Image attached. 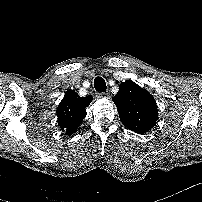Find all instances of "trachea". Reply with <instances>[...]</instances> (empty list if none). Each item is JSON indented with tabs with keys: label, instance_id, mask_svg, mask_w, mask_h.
Here are the masks:
<instances>
[{
	"label": "trachea",
	"instance_id": "trachea-1",
	"mask_svg": "<svg viewBox=\"0 0 202 202\" xmlns=\"http://www.w3.org/2000/svg\"><path fill=\"white\" fill-rule=\"evenodd\" d=\"M94 87L98 92H106L107 89L105 80L99 76L94 79Z\"/></svg>",
	"mask_w": 202,
	"mask_h": 202
}]
</instances>
